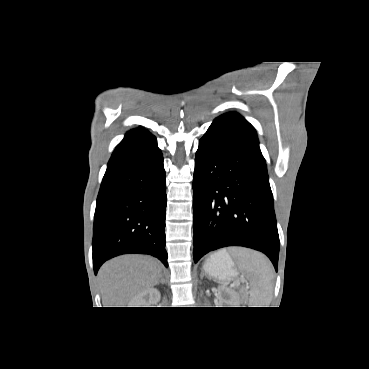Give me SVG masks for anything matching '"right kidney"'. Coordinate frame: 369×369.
<instances>
[{"label":"right kidney","mask_w":369,"mask_h":369,"mask_svg":"<svg viewBox=\"0 0 369 369\" xmlns=\"http://www.w3.org/2000/svg\"><path fill=\"white\" fill-rule=\"evenodd\" d=\"M160 300V292L156 288H149L134 296L129 307H150Z\"/></svg>","instance_id":"right-kidney-1"}]
</instances>
